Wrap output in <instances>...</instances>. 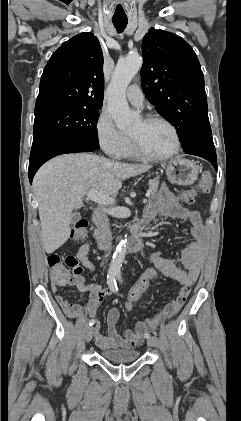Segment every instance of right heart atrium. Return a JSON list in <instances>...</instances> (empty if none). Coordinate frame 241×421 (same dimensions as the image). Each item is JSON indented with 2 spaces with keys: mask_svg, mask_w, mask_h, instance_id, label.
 <instances>
[{
  "mask_svg": "<svg viewBox=\"0 0 241 421\" xmlns=\"http://www.w3.org/2000/svg\"><path fill=\"white\" fill-rule=\"evenodd\" d=\"M96 136L103 151L111 157H122L128 137L118 130L112 117L106 111L100 113L96 125Z\"/></svg>",
  "mask_w": 241,
  "mask_h": 421,
  "instance_id": "obj_1",
  "label": "right heart atrium"
}]
</instances>
